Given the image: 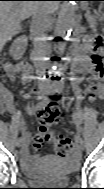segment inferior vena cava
Instances as JSON below:
<instances>
[{"instance_id":"1","label":"inferior vena cava","mask_w":104,"mask_h":189,"mask_svg":"<svg viewBox=\"0 0 104 189\" xmlns=\"http://www.w3.org/2000/svg\"><path fill=\"white\" fill-rule=\"evenodd\" d=\"M48 14L45 8H41L35 11L32 15V22L30 26L31 35L34 38V51L33 54L36 57V65L38 66V83L40 88H49L51 82H49L48 62L44 61L43 56L47 49V43L42 37L47 30Z\"/></svg>"}]
</instances>
